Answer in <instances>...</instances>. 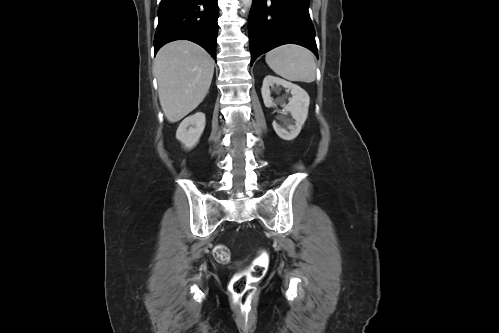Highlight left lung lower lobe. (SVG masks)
Returning <instances> with one entry per match:
<instances>
[{"instance_id":"obj_1","label":"left lung lower lobe","mask_w":499,"mask_h":333,"mask_svg":"<svg viewBox=\"0 0 499 333\" xmlns=\"http://www.w3.org/2000/svg\"><path fill=\"white\" fill-rule=\"evenodd\" d=\"M310 0H253L248 35L251 65L261 54L283 44H298L318 58Z\"/></svg>"}]
</instances>
